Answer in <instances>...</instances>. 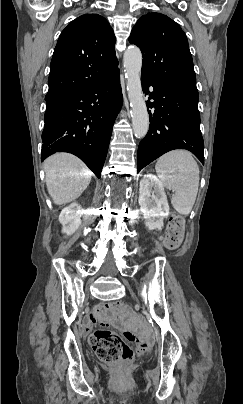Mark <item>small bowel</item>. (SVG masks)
Returning <instances> with one entry per match:
<instances>
[{
	"label": "small bowel",
	"mask_w": 243,
	"mask_h": 404,
	"mask_svg": "<svg viewBox=\"0 0 243 404\" xmlns=\"http://www.w3.org/2000/svg\"><path fill=\"white\" fill-rule=\"evenodd\" d=\"M97 312H94V313H92L86 320H85V322H84V325H83V331H84V333H89L90 332V330H91V328H92V325L96 322V320H97Z\"/></svg>",
	"instance_id": "c3829d8e"
}]
</instances>
